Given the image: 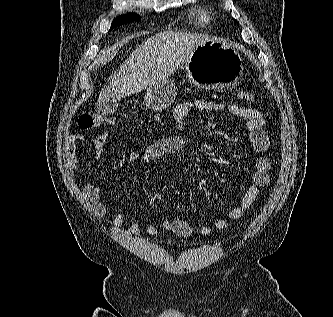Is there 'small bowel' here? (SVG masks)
I'll use <instances>...</instances> for the list:
<instances>
[{"mask_svg":"<svg viewBox=\"0 0 333 317\" xmlns=\"http://www.w3.org/2000/svg\"><path fill=\"white\" fill-rule=\"evenodd\" d=\"M224 109L235 116L245 119L250 143L253 149L261 154L255 161L252 183L248 186L240 201L230 210L227 218L218 219L213 226L203 225L195 229L188 222L179 218L165 219L162 221L161 227L164 230L171 231L180 237H190L195 232L201 235H209L214 228L217 230L226 229L229 221L240 219L245 211L253 204L258 196L259 188L268 185L270 182L271 163L264 153L268 150L270 141L265 128L264 116L256 109L237 104L224 106L221 103L208 99L186 101L178 104L173 111V117L177 124L179 135L156 140L147 145L142 153L131 151L127 156V164H133L139 161L145 164H152L166 155L180 152L185 146V141L182 136L184 122L192 110L210 112ZM109 139V133H103L95 139L94 151L96 156H100ZM82 141L83 135L80 133L71 134L66 141L65 159L72 173H75L77 170V146ZM81 194L96 216L102 217L105 215L106 208L101 201V188L99 186L91 183L86 184L81 189ZM124 218L125 212L124 209L121 208L112 220V227L116 230L121 229ZM158 230L159 227L153 224L146 228V232L149 235L156 234ZM128 231L130 235H136L139 232L138 222L133 221Z\"/></svg>","mask_w":333,"mask_h":317,"instance_id":"obj_1","label":"small bowel"}]
</instances>
